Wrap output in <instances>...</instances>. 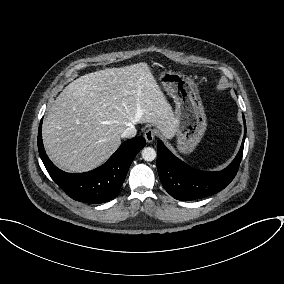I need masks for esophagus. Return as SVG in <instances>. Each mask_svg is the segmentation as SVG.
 Listing matches in <instances>:
<instances>
[{"instance_id": "esophagus-1", "label": "esophagus", "mask_w": 284, "mask_h": 284, "mask_svg": "<svg viewBox=\"0 0 284 284\" xmlns=\"http://www.w3.org/2000/svg\"><path fill=\"white\" fill-rule=\"evenodd\" d=\"M155 136H156V132H155V130H153L151 128L147 129L144 132V137H145V139L148 143L153 142V140L155 139Z\"/></svg>"}]
</instances>
